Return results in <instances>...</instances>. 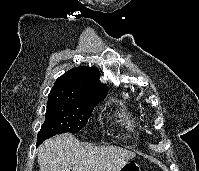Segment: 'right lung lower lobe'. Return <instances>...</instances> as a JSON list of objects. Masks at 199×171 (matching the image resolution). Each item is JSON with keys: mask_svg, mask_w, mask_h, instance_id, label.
<instances>
[{"mask_svg": "<svg viewBox=\"0 0 199 171\" xmlns=\"http://www.w3.org/2000/svg\"><path fill=\"white\" fill-rule=\"evenodd\" d=\"M42 142L41 141H37V146L39 145V144H41Z\"/></svg>", "mask_w": 199, "mask_h": 171, "instance_id": "98d812e1", "label": "right lung lower lobe"}]
</instances>
